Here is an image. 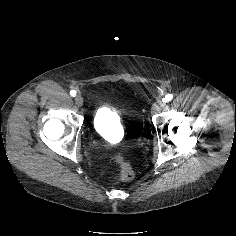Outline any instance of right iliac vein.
<instances>
[{
    "mask_svg": "<svg viewBox=\"0 0 236 236\" xmlns=\"http://www.w3.org/2000/svg\"><path fill=\"white\" fill-rule=\"evenodd\" d=\"M75 103L77 106L81 107L83 105V98L81 95L75 97Z\"/></svg>",
    "mask_w": 236,
    "mask_h": 236,
    "instance_id": "obj_1",
    "label": "right iliac vein"
}]
</instances>
